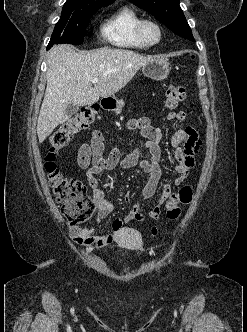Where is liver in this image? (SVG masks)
Returning a JSON list of instances; mask_svg holds the SVG:
<instances>
[{"mask_svg":"<svg viewBox=\"0 0 247 332\" xmlns=\"http://www.w3.org/2000/svg\"><path fill=\"white\" fill-rule=\"evenodd\" d=\"M154 58L125 49L102 48L80 54L71 45L54 46L47 61V87L37 122L39 143L69 119V104L86 106L114 95ZM95 78L98 82L93 87Z\"/></svg>","mask_w":247,"mask_h":332,"instance_id":"obj_1","label":"liver"}]
</instances>
